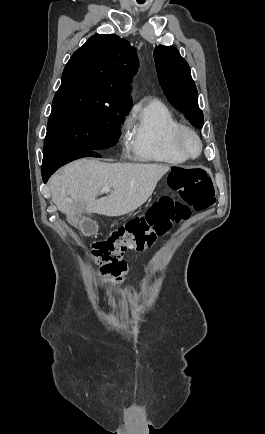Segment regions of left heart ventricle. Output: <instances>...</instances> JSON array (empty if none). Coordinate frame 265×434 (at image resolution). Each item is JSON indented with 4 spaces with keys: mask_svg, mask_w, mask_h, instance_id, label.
I'll return each instance as SVG.
<instances>
[{
    "mask_svg": "<svg viewBox=\"0 0 265 434\" xmlns=\"http://www.w3.org/2000/svg\"><path fill=\"white\" fill-rule=\"evenodd\" d=\"M184 150L189 155H196L198 153L199 146L193 138L188 137L184 140Z\"/></svg>",
    "mask_w": 265,
    "mask_h": 434,
    "instance_id": "obj_1",
    "label": "left heart ventricle"
}]
</instances>
